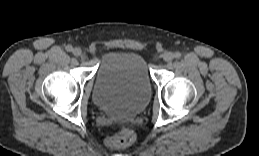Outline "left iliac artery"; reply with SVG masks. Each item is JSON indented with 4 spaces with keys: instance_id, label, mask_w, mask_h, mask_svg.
I'll return each instance as SVG.
<instances>
[{
    "instance_id": "44dca946",
    "label": "left iliac artery",
    "mask_w": 259,
    "mask_h": 156,
    "mask_svg": "<svg viewBox=\"0 0 259 156\" xmlns=\"http://www.w3.org/2000/svg\"><path fill=\"white\" fill-rule=\"evenodd\" d=\"M174 57L179 59L181 57V53L180 52H175Z\"/></svg>"
}]
</instances>
